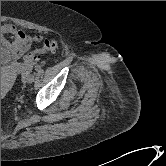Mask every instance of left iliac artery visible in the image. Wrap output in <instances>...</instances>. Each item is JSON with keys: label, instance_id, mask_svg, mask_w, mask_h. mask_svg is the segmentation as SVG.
<instances>
[{"label": "left iliac artery", "instance_id": "left-iliac-artery-1", "mask_svg": "<svg viewBox=\"0 0 166 166\" xmlns=\"http://www.w3.org/2000/svg\"><path fill=\"white\" fill-rule=\"evenodd\" d=\"M37 71H39L40 70V68L38 67V66H36V68H35Z\"/></svg>", "mask_w": 166, "mask_h": 166}]
</instances>
